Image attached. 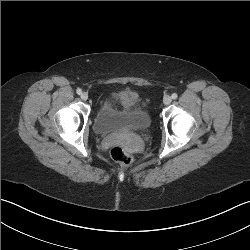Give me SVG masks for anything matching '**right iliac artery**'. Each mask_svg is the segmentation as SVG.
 <instances>
[{"instance_id": "1", "label": "right iliac artery", "mask_w": 250, "mask_h": 250, "mask_svg": "<svg viewBox=\"0 0 250 250\" xmlns=\"http://www.w3.org/2000/svg\"><path fill=\"white\" fill-rule=\"evenodd\" d=\"M76 92H77V94H81L82 93V90L80 89V88H78L77 90H76Z\"/></svg>"}]
</instances>
